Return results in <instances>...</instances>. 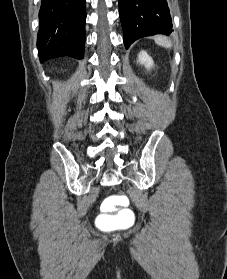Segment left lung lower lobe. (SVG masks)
<instances>
[{
    "label": "left lung lower lobe",
    "mask_w": 227,
    "mask_h": 279,
    "mask_svg": "<svg viewBox=\"0 0 227 279\" xmlns=\"http://www.w3.org/2000/svg\"><path fill=\"white\" fill-rule=\"evenodd\" d=\"M118 2L126 48L141 37L171 33L172 20L166 0H118Z\"/></svg>",
    "instance_id": "1"
}]
</instances>
